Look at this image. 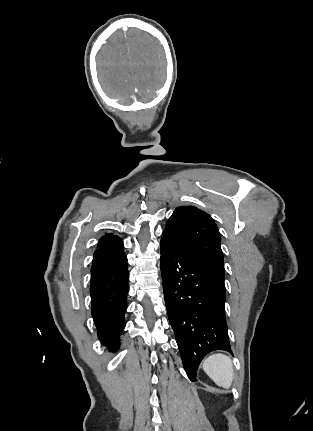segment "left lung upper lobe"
I'll return each mask as SVG.
<instances>
[{
	"label": "left lung upper lobe",
	"mask_w": 313,
	"mask_h": 431,
	"mask_svg": "<svg viewBox=\"0 0 313 431\" xmlns=\"http://www.w3.org/2000/svg\"><path fill=\"white\" fill-rule=\"evenodd\" d=\"M163 235L181 250L224 274L221 236L214 222L204 211L193 206H180L168 219Z\"/></svg>",
	"instance_id": "1"
}]
</instances>
